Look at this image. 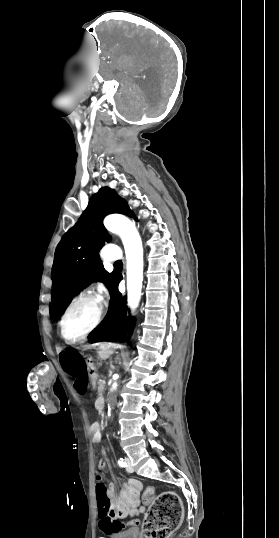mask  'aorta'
I'll return each mask as SVG.
<instances>
[{
    "label": "aorta",
    "mask_w": 279,
    "mask_h": 538,
    "mask_svg": "<svg viewBox=\"0 0 279 538\" xmlns=\"http://www.w3.org/2000/svg\"><path fill=\"white\" fill-rule=\"evenodd\" d=\"M104 226L112 233L118 234L123 242L126 254L127 296L131 311L138 307L141 299L143 281V247L135 225L125 216L109 215L104 219ZM115 374L113 379H117ZM117 384L112 385L115 390Z\"/></svg>",
    "instance_id": "762f6f07"
}]
</instances>
